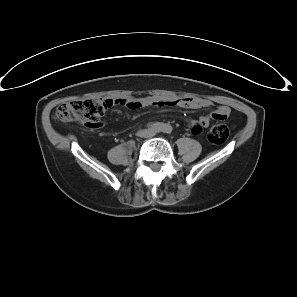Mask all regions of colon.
<instances>
[{
	"label": "colon",
	"mask_w": 297,
	"mask_h": 297,
	"mask_svg": "<svg viewBox=\"0 0 297 297\" xmlns=\"http://www.w3.org/2000/svg\"><path fill=\"white\" fill-rule=\"evenodd\" d=\"M111 100L103 98L78 99L61 104L55 111L54 118L59 122H71L74 120L84 122L87 119L101 121ZM193 133V132H192ZM229 136V129L223 124H217L210 128L207 133L208 140L213 144L224 143Z\"/></svg>",
	"instance_id": "5ec220e1"
}]
</instances>
